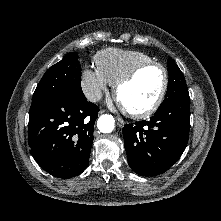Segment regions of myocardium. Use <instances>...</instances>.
<instances>
[{
    "label": "myocardium",
    "instance_id": "obj_1",
    "mask_svg": "<svg viewBox=\"0 0 221 221\" xmlns=\"http://www.w3.org/2000/svg\"><path fill=\"white\" fill-rule=\"evenodd\" d=\"M150 67H158L161 69V71L163 73V84H162L160 92H159L158 96L156 97L155 101L147 108L142 109V110H129V109L125 108L124 106H122L123 111L127 115H129L133 118H145V117L151 116L161 106V104L165 98V95L167 93L168 86H169V74H168L167 69L165 68V66L163 64L156 62V61L144 62V63H141V64L135 66L131 71H129L125 76H123L115 84L114 95H115V98L118 100V94H119L120 90L125 85L132 82L141 71H143L144 69L150 68Z\"/></svg>",
    "mask_w": 221,
    "mask_h": 221
}]
</instances>
